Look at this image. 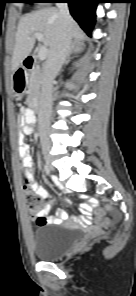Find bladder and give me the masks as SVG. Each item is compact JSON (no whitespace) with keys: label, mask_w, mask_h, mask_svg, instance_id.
I'll use <instances>...</instances> for the list:
<instances>
[{"label":"bladder","mask_w":136,"mask_h":296,"mask_svg":"<svg viewBox=\"0 0 136 296\" xmlns=\"http://www.w3.org/2000/svg\"><path fill=\"white\" fill-rule=\"evenodd\" d=\"M79 241V232L64 225H42L31 236L33 252L41 261L61 258Z\"/></svg>","instance_id":"31cf9c89"}]
</instances>
